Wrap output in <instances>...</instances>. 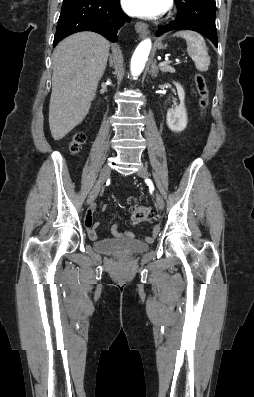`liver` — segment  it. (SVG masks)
Segmentation results:
<instances>
[{"label": "liver", "mask_w": 254, "mask_h": 397, "mask_svg": "<svg viewBox=\"0 0 254 397\" xmlns=\"http://www.w3.org/2000/svg\"><path fill=\"white\" fill-rule=\"evenodd\" d=\"M110 43L93 32L75 33L53 52L49 127L54 140L86 117L109 55Z\"/></svg>", "instance_id": "1"}]
</instances>
